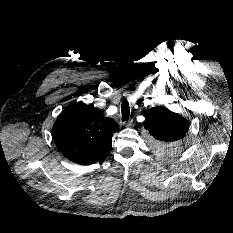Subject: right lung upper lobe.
Returning <instances> with one entry per match:
<instances>
[{"instance_id": "right-lung-upper-lobe-1", "label": "right lung upper lobe", "mask_w": 233, "mask_h": 233, "mask_svg": "<svg viewBox=\"0 0 233 233\" xmlns=\"http://www.w3.org/2000/svg\"><path fill=\"white\" fill-rule=\"evenodd\" d=\"M119 126L97 108L77 103L65 109L53 126V139L60 152L81 165L93 164L103 158Z\"/></svg>"}]
</instances>
